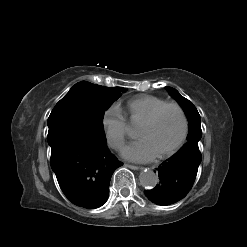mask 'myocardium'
I'll return each instance as SVG.
<instances>
[{
  "label": "myocardium",
  "instance_id": "f54148a6",
  "mask_svg": "<svg viewBox=\"0 0 247 247\" xmlns=\"http://www.w3.org/2000/svg\"><path fill=\"white\" fill-rule=\"evenodd\" d=\"M170 108L175 109L179 113L181 121H182V131L177 141L169 149L157 155V158L159 159H165L171 156L172 154H174L186 140V137L188 135V130H189V123H188L186 112L184 111L182 106H180L178 103L167 102L161 105L160 107H158L148 118H146L141 123V126L153 125L157 121V119L160 117V115L165 110L170 109Z\"/></svg>",
  "mask_w": 247,
  "mask_h": 247
}]
</instances>
